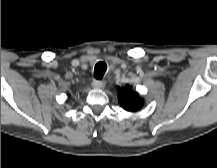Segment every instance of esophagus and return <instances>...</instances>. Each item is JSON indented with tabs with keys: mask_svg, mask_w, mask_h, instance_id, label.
<instances>
[{
	"mask_svg": "<svg viewBox=\"0 0 217 168\" xmlns=\"http://www.w3.org/2000/svg\"><path fill=\"white\" fill-rule=\"evenodd\" d=\"M106 85V82L103 80H93L92 86L97 89H102Z\"/></svg>",
	"mask_w": 217,
	"mask_h": 168,
	"instance_id": "34e87169",
	"label": "esophagus"
}]
</instances>
